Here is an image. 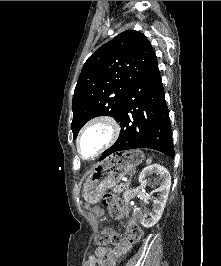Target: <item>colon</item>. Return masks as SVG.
Listing matches in <instances>:
<instances>
[{
	"mask_svg": "<svg viewBox=\"0 0 221 266\" xmlns=\"http://www.w3.org/2000/svg\"><path fill=\"white\" fill-rule=\"evenodd\" d=\"M103 205L108 209L110 216L113 219H121L123 216L122 202L110 193H106L102 197ZM142 236V229L134 220H129L124 234L114 232L111 229H104L96 236V243L98 245H107L113 243L116 245L124 244L126 242L136 243Z\"/></svg>",
	"mask_w": 221,
	"mask_h": 266,
	"instance_id": "5ec220e1",
	"label": "colon"
}]
</instances>
